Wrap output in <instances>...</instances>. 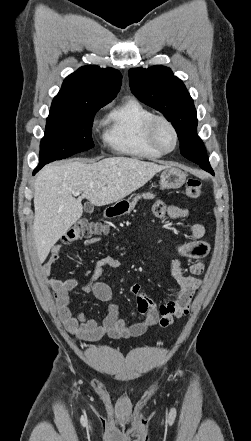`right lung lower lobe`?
I'll use <instances>...</instances> for the list:
<instances>
[{
  "label": "right lung lower lobe",
  "instance_id": "1",
  "mask_svg": "<svg viewBox=\"0 0 251 441\" xmlns=\"http://www.w3.org/2000/svg\"><path fill=\"white\" fill-rule=\"evenodd\" d=\"M45 164H47V163L40 162L39 165H38V167L34 170V173H33V174H35V173H36L39 169H41Z\"/></svg>",
  "mask_w": 251,
  "mask_h": 441
}]
</instances>
